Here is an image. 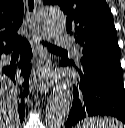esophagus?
<instances>
[{
  "mask_svg": "<svg viewBox=\"0 0 125 128\" xmlns=\"http://www.w3.org/2000/svg\"><path fill=\"white\" fill-rule=\"evenodd\" d=\"M36 5V0H26V14L29 21V26L32 30L33 36L38 40L33 42V46L39 57L38 66L43 67L49 61V53L39 42V40L45 38L41 33V30L36 21ZM34 83L37 87V90L45 94L48 92L49 87L51 86V82L40 81L36 76L34 78Z\"/></svg>",
  "mask_w": 125,
  "mask_h": 128,
  "instance_id": "1",
  "label": "esophagus"
}]
</instances>
